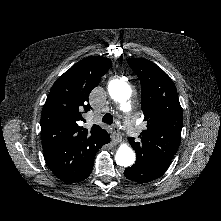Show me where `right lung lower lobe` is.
I'll return each instance as SVG.
<instances>
[{"mask_svg":"<svg viewBox=\"0 0 221 221\" xmlns=\"http://www.w3.org/2000/svg\"><path fill=\"white\" fill-rule=\"evenodd\" d=\"M94 157H95V156H93V157L90 159V161H89V163L87 164V166H86L84 172L82 173L81 177H80L76 182L83 181L84 179H86V178L91 174L92 169H93Z\"/></svg>","mask_w":221,"mask_h":221,"instance_id":"obj_1","label":"right lung lower lobe"}]
</instances>
